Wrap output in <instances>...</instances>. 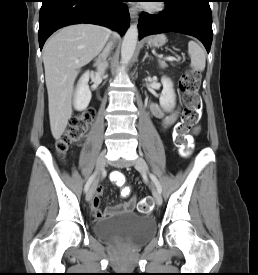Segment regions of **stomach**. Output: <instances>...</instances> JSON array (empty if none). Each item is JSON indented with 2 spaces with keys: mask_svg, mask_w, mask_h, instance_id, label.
Listing matches in <instances>:
<instances>
[{
  "mask_svg": "<svg viewBox=\"0 0 258 275\" xmlns=\"http://www.w3.org/2000/svg\"><path fill=\"white\" fill-rule=\"evenodd\" d=\"M166 42V37L164 34H158L148 39V44L155 47H160Z\"/></svg>",
  "mask_w": 258,
  "mask_h": 275,
  "instance_id": "0dacf381",
  "label": "stomach"
}]
</instances>
